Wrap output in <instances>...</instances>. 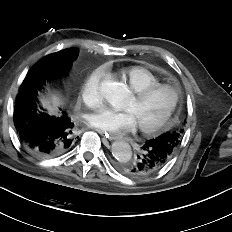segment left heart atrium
Returning a JSON list of instances; mask_svg holds the SVG:
<instances>
[{
  "mask_svg": "<svg viewBox=\"0 0 232 232\" xmlns=\"http://www.w3.org/2000/svg\"><path fill=\"white\" fill-rule=\"evenodd\" d=\"M86 122L96 129L113 134H124L136 128L137 122L129 110L116 111L102 107L86 116Z\"/></svg>",
  "mask_w": 232,
  "mask_h": 232,
  "instance_id": "39dd6f15",
  "label": "left heart atrium"
}]
</instances>
